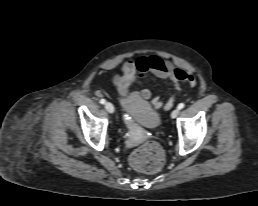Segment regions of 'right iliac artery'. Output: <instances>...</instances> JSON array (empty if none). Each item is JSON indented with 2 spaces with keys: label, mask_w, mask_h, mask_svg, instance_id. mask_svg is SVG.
<instances>
[{
  "label": "right iliac artery",
  "mask_w": 258,
  "mask_h": 206,
  "mask_svg": "<svg viewBox=\"0 0 258 206\" xmlns=\"http://www.w3.org/2000/svg\"><path fill=\"white\" fill-rule=\"evenodd\" d=\"M100 103H101V104H105V103H106V100L102 98V99H100Z\"/></svg>",
  "instance_id": "right-iliac-artery-1"
}]
</instances>
